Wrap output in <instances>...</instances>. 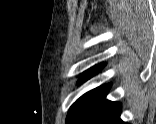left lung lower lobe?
<instances>
[{
	"mask_svg": "<svg viewBox=\"0 0 156 124\" xmlns=\"http://www.w3.org/2000/svg\"><path fill=\"white\" fill-rule=\"evenodd\" d=\"M110 89L106 85L79 124H126L120 119L121 105L105 99Z\"/></svg>",
	"mask_w": 156,
	"mask_h": 124,
	"instance_id": "left-lung-lower-lobe-1",
	"label": "left lung lower lobe"
}]
</instances>
